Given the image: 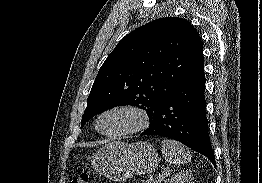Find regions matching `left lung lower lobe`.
I'll return each mask as SVG.
<instances>
[{"mask_svg":"<svg viewBox=\"0 0 262 183\" xmlns=\"http://www.w3.org/2000/svg\"><path fill=\"white\" fill-rule=\"evenodd\" d=\"M203 54L181 77L161 103L141 135H160L175 139L206 156L216 167L206 117Z\"/></svg>","mask_w":262,"mask_h":183,"instance_id":"obj_1","label":"left lung lower lobe"}]
</instances>
